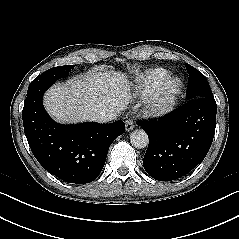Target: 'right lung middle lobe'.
<instances>
[{
	"label": "right lung middle lobe",
	"mask_w": 239,
	"mask_h": 239,
	"mask_svg": "<svg viewBox=\"0 0 239 239\" xmlns=\"http://www.w3.org/2000/svg\"><path fill=\"white\" fill-rule=\"evenodd\" d=\"M73 68L74 65H65L51 68L39 75L36 79H34L29 85L28 89L34 88L39 85H51L57 79H61L68 76L69 71H71V69Z\"/></svg>",
	"instance_id": "obj_1"
}]
</instances>
